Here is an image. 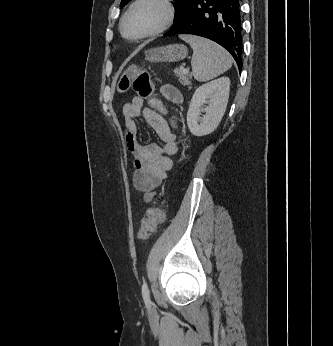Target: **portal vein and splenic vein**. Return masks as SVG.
<instances>
[{
    "mask_svg": "<svg viewBox=\"0 0 333 346\" xmlns=\"http://www.w3.org/2000/svg\"><path fill=\"white\" fill-rule=\"evenodd\" d=\"M184 73H188V69L182 68Z\"/></svg>",
    "mask_w": 333,
    "mask_h": 346,
    "instance_id": "obj_1",
    "label": "portal vein and splenic vein"
}]
</instances>
